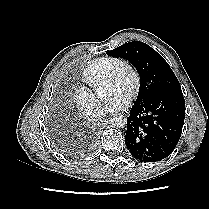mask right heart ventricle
<instances>
[{"label":"right heart ventricle","instance_id":"e07e8e85","mask_svg":"<svg viewBox=\"0 0 209 209\" xmlns=\"http://www.w3.org/2000/svg\"><path fill=\"white\" fill-rule=\"evenodd\" d=\"M120 61L116 57H100L90 61L81 73V80L89 88H96L104 81L108 71Z\"/></svg>","mask_w":209,"mask_h":209}]
</instances>
